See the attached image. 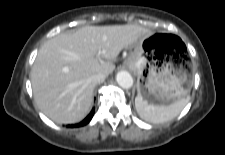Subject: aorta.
<instances>
[{
  "label": "aorta",
  "mask_w": 225,
  "mask_h": 155,
  "mask_svg": "<svg viewBox=\"0 0 225 155\" xmlns=\"http://www.w3.org/2000/svg\"><path fill=\"white\" fill-rule=\"evenodd\" d=\"M118 85L124 89H129L133 85V78L127 71H120L116 75Z\"/></svg>",
  "instance_id": "1"
}]
</instances>
